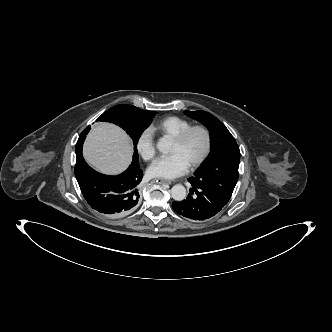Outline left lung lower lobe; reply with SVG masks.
Returning a JSON list of instances; mask_svg holds the SVG:
<instances>
[{
    "instance_id": "obj_1",
    "label": "left lung lower lobe",
    "mask_w": 332,
    "mask_h": 332,
    "mask_svg": "<svg viewBox=\"0 0 332 332\" xmlns=\"http://www.w3.org/2000/svg\"><path fill=\"white\" fill-rule=\"evenodd\" d=\"M188 181L192 185L190 194L183 201L172 203L177 214L193 220H207L228 203L229 200L203 185L196 184L191 178Z\"/></svg>"
}]
</instances>
